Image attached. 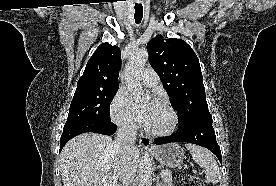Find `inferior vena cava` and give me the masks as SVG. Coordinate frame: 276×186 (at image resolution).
Returning a JSON list of instances; mask_svg holds the SVG:
<instances>
[{"label": "inferior vena cava", "mask_w": 276, "mask_h": 186, "mask_svg": "<svg viewBox=\"0 0 276 186\" xmlns=\"http://www.w3.org/2000/svg\"><path fill=\"white\" fill-rule=\"evenodd\" d=\"M136 129L137 127L134 123L127 122L123 123L117 130L115 144L121 157L118 177L122 182V186H130L136 173V161L131 156V152L135 147Z\"/></svg>", "instance_id": "obj_1"}]
</instances>
